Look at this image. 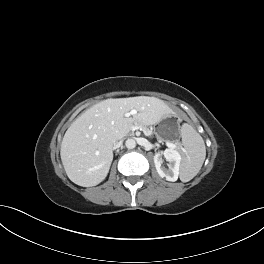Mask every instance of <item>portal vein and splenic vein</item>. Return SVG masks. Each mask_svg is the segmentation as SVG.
<instances>
[{
	"label": "portal vein and splenic vein",
	"instance_id": "18ae733b",
	"mask_svg": "<svg viewBox=\"0 0 264 264\" xmlns=\"http://www.w3.org/2000/svg\"><path fill=\"white\" fill-rule=\"evenodd\" d=\"M137 112H136V110H131L130 111V113H127L126 114V116H130V115H135ZM138 128H140V127H135V126H133V130H135V129H138ZM144 131V130H143ZM144 133H145V135H148L145 131H144ZM165 144L168 146V147H171V148H174L175 147V144L174 143H172V142H170V141H165Z\"/></svg>",
	"mask_w": 264,
	"mask_h": 264
}]
</instances>
